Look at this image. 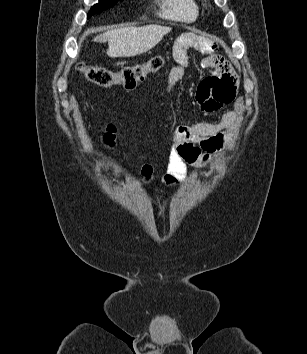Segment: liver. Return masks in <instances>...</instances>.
I'll list each match as a JSON object with an SVG mask.
<instances>
[{
    "label": "liver",
    "instance_id": "obj_1",
    "mask_svg": "<svg viewBox=\"0 0 307 354\" xmlns=\"http://www.w3.org/2000/svg\"><path fill=\"white\" fill-rule=\"evenodd\" d=\"M170 31L171 27L160 25L122 27L107 31L94 41H108L107 55L111 58L133 57L154 48Z\"/></svg>",
    "mask_w": 307,
    "mask_h": 354
}]
</instances>
